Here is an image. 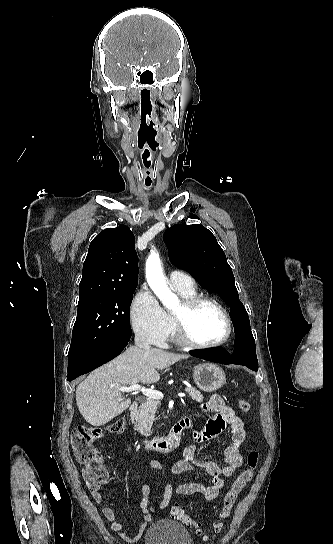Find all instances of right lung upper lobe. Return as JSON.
Here are the masks:
<instances>
[{
    "mask_svg": "<svg viewBox=\"0 0 333 544\" xmlns=\"http://www.w3.org/2000/svg\"><path fill=\"white\" fill-rule=\"evenodd\" d=\"M135 237L125 225L108 228L90 243L79 284V302L111 291H133L138 284Z\"/></svg>",
    "mask_w": 333,
    "mask_h": 544,
    "instance_id": "obj_1",
    "label": "right lung upper lobe"
}]
</instances>
